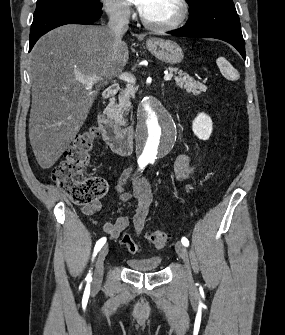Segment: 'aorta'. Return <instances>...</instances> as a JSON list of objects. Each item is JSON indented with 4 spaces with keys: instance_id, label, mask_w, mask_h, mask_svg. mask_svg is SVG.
I'll list each match as a JSON object with an SVG mask.
<instances>
[{
    "instance_id": "762f6f07",
    "label": "aorta",
    "mask_w": 285,
    "mask_h": 335,
    "mask_svg": "<svg viewBox=\"0 0 285 335\" xmlns=\"http://www.w3.org/2000/svg\"><path fill=\"white\" fill-rule=\"evenodd\" d=\"M138 112L140 125L133 127V134L138 137L136 144L141 147L142 160H163L180 136L177 119H171L160 95H145V100H139Z\"/></svg>"
}]
</instances>
